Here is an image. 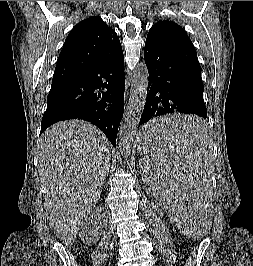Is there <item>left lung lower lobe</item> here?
I'll use <instances>...</instances> for the list:
<instances>
[{
  "instance_id": "0a47b994",
  "label": "left lung lower lobe",
  "mask_w": 253,
  "mask_h": 266,
  "mask_svg": "<svg viewBox=\"0 0 253 266\" xmlns=\"http://www.w3.org/2000/svg\"><path fill=\"white\" fill-rule=\"evenodd\" d=\"M149 73L146 103L139 126L150 141L189 139L202 135L207 109L203 99L201 67L187 35L167 27L150 29L144 48ZM195 114L201 118L156 125L152 118L170 113Z\"/></svg>"
}]
</instances>
